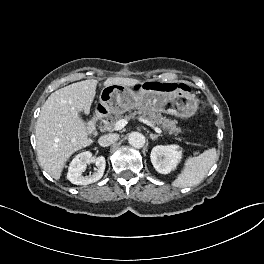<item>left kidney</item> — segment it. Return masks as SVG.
I'll use <instances>...</instances> for the list:
<instances>
[{
	"label": "left kidney",
	"mask_w": 264,
	"mask_h": 264,
	"mask_svg": "<svg viewBox=\"0 0 264 264\" xmlns=\"http://www.w3.org/2000/svg\"><path fill=\"white\" fill-rule=\"evenodd\" d=\"M150 158L156 171L168 174L182 158V149L178 145H158L153 147Z\"/></svg>",
	"instance_id": "left-kidney-1"
}]
</instances>
